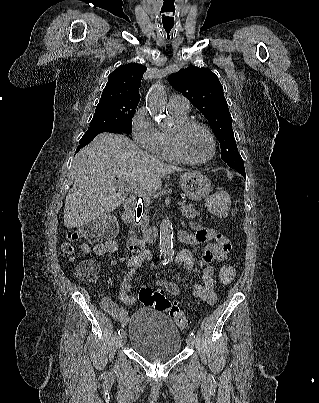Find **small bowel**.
I'll return each instance as SVG.
<instances>
[{
  "label": "small bowel",
  "mask_w": 319,
  "mask_h": 403,
  "mask_svg": "<svg viewBox=\"0 0 319 403\" xmlns=\"http://www.w3.org/2000/svg\"><path fill=\"white\" fill-rule=\"evenodd\" d=\"M193 227L196 230L194 234L181 232L179 238L182 242L190 245L207 243L202 254V261L204 263L202 281L198 282L194 277V260L191 252L187 250L181 251L176 257V262L183 263L191 274L194 280V297L201 299L209 305H214L217 302V294L214 289V269L211 264L225 261L230 253L231 245L224 236L213 229L202 228L197 224H193ZM150 257L151 255L148 252L132 255L127 261L128 272L121 282L119 302H113L107 299L101 302L102 308L112 315L121 326H126L129 320V314L124 305H132L135 302V298L131 294V280L133 275L135 274L136 268L140 267L143 261ZM155 284L157 287L165 289L172 295L177 296L179 294V287L173 282L158 280Z\"/></svg>",
  "instance_id": "small-bowel-1"
}]
</instances>
